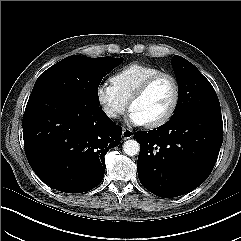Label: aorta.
Masks as SVG:
<instances>
[{
	"mask_svg": "<svg viewBox=\"0 0 241 241\" xmlns=\"http://www.w3.org/2000/svg\"><path fill=\"white\" fill-rule=\"evenodd\" d=\"M123 151L128 156L137 155L140 151V145L136 140H127L123 144Z\"/></svg>",
	"mask_w": 241,
	"mask_h": 241,
	"instance_id": "obj_1",
	"label": "aorta"
}]
</instances>
